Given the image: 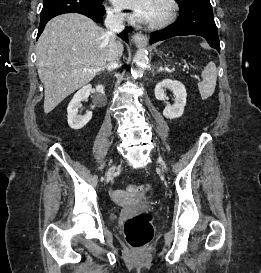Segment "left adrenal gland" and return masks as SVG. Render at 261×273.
<instances>
[{
    "label": "left adrenal gland",
    "mask_w": 261,
    "mask_h": 273,
    "mask_svg": "<svg viewBox=\"0 0 261 273\" xmlns=\"http://www.w3.org/2000/svg\"><path fill=\"white\" fill-rule=\"evenodd\" d=\"M163 71V68L160 66L157 72Z\"/></svg>",
    "instance_id": "left-adrenal-gland-1"
}]
</instances>
